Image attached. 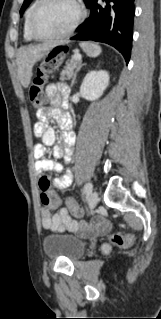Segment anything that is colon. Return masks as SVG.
Segmentation results:
<instances>
[{
  "label": "colon",
  "instance_id": "1",
  "mask_svg": "<svg viewBox=\"0 0 161 319\" xmlns=\"http://www.w3.org/2000/svg\"><path fill=\"white\" fill-rule=\"evenodd\" d=\"M66 53L67 47L61 45L52 49L46 57L42 59L36 74L29 85V99L33 107L39 108L44 104L43 87L48 80L49 74L61 64ZM52 182V179L48 176H43L40 179L42 187L40 201L42 205L48 209L57 207L61 203L59 198L52 196L48 191ZM111 242L117 247L126 248L134 243V236L114 234L111 237ZM103 249L107 252L110 250V246L106 244Z\"/></svg>",
  "mask_w": 161,
  "mask_h": 319
}]
</instances>
